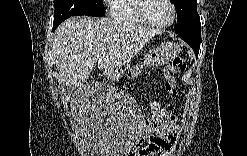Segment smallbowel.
Here are the masks:
<instances>
[{"label": "small bowel", "mask_w": 247, "mask_h": 156, "mask_svg": "<svg viewBox=\"0 0 247 156\" xmlns=\"http://www.w3.org/2000/svg\"><path fill=\"white\" fill-rule=\"evenodd\" d=\"M150 107H160L161 110H164V108L157 102H153ZM165 113L166 118H164L161 130H158V135L150 139L144 136L143 138H140V142H147V145L131 151V156H143L151 153L166 155L172 153L175 143L180 135V127L173 115H170L166 111Z\"/></svg>", "instance_id": "1"}]
</instances>
